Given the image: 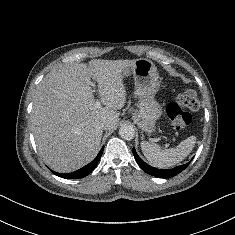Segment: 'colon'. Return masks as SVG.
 I'll return each instance as SVG.
<instances>
[{
    "mask_svg": "<svg viewBox=\"0 0 235 235\" xmlns=\"http://www.w3.org/2000/svg\"><path fill=\"white\" fill-rule=\"evenodd\" d=\"M198 108L199 101L196 92L193 89H185L174 102L168 104L166 113L172 126L175 129L182 130L192 122L189 111H195Z\"/></svg>",
    "mask_w": 235,
    "mask_h": 235,
    "instance_id": "colon-1",
    "label": "colon"
}]
</instances>
